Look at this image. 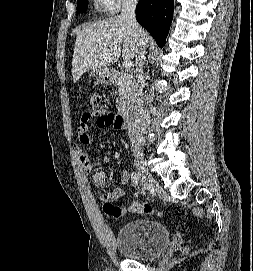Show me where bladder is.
<instances>
[{
  "mask_svg": "<svg viewBox=\"0 0 253 271\" xmlns=\"http://www.w3.org/2000/svg\"><path fill=\"white\" fill-rule=\"evenodd\" d=\"M170 243L168 228L159 221L137 219L122 225L115 238L118 251L127 259L148 260Z\"/></svg>",
  "mask_w": 253,
  "mask_h": 271,
  "instance_id": "bladder-1",
  "label": "bladder"
}]
</instances>
